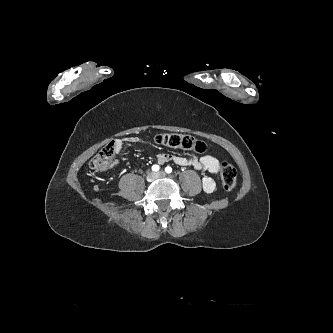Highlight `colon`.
I'll return each instance as SVG.
<instances>
[{
    "instance_id": "5ec220e1",
    "label": "colon",
    "mask_w": 333,
    "mask_h": 333,
    "mask_svg": "<svg viewBox=\"0 0 333 333\" xmlns=\"http://www.w3.org/2000/svg\"><path fill=\"white\" fill-rule=\"evenodd\" d=\"M155 141L167 147L192 151L199 154L206 151L205 142L186 134L164 133L157 135ZM115 150V143H109L91 160L90 167L97 171L108 168L114 157ZM220 174L223 188L227 192L233 191L237 181V171L235 167L229 162H223L220 166Z\"/></svg>"
}]
</instances>
